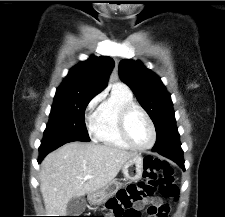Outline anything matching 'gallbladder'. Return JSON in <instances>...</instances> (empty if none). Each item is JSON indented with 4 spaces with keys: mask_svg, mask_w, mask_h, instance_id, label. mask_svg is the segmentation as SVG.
<instances>
[{
    "mask_svg": "<svg viewBox=\"0 0 225 217\" xmlns=\"http://www.w3.org/2000/svg\"><path fill=\"white\" fill-rule=\"evenodd\" d=\"M86 208V200L83 197H73L67 204V216H79Z\"/></svg>",
    "mask_w": 225,
    "mask_h": 217,
    "instance_id": "gallbladder-1",
    "label": "gallbladder"
}]
</instances>
